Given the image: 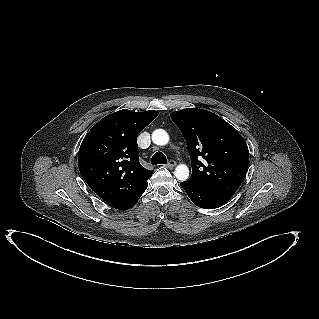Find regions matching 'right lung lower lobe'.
Wrapping results in <instances>:
<instances>
[{"label": "right lung lower lobe", "instance_id": "1", "mask_svg": "<svg viewBox=\"0 0 319 319\" xmlns=\"http://www.w3.org/2000/svg\"><path fill=\"white\" fill-rule=\"evenodd\" d=\"M146 188H147V182L137 187L131 193L120 198L118 201L112 203L111 205L114 208L119 210H127L136 204V202L138 201L140 196L143 194V192L146 190Z\"/></svg>", "mask_w": 319, "mask_h": 319}]
</instances>
